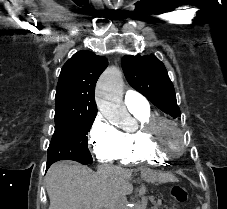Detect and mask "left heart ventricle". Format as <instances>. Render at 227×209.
Returning a JSON list of instances; mask_svg holds the SVG:
<instances>
[{
	"mask_svg": "<svg viewBox=\"0 0 227 209\" xmlns=\"http://www.w3.org/2000/svg\"><path fill=\"white\" fill-rule=\"evenodd\" d=\"M157 139L165 149H180L183 146V138L168 123H163L157 130Z\"/></svg>",
	"mask_w": 227,
	"mask_h": 209,
	"instance_id": "b2bd125f",
	"label": "left heart ventricle"
}]
</instances>
